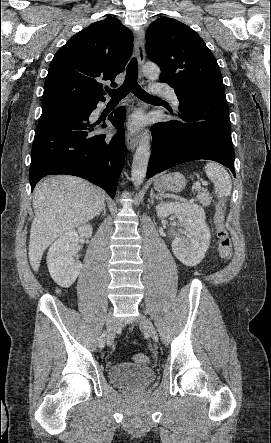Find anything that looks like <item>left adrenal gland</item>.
I'll list each match as a JSON object with an SVG mask.
<instances>
[{
	"label": "left adrenal gland",
	"instance_id": "1",
	"mask_svg": "<svg viewBox=\"0 0 271 443\" xmlns=\"http://www.w3.org/2000/svg\"><path fill=\"white\" fill-rule=\"evenodd\" d=\"M150 198H151V204H154V198H156V200H161V202H162L161 196H156V194H154V190H151Z\"/></svg>",
	"mask_w": 271,
	"mask_h": 443
}]
</instances>
